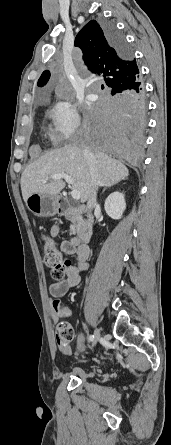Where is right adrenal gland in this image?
<instances>
[{
  "mask_svg": "<svg viewBox=\"0 0 171 445\" xmlns=\"http://www.w3.org/2000/svg\"><path fill=\"white\" fill-rule=\"evenodd\" d=\"M112 186H113V185L108 186L107 188H104L103 191H102V194L105 192L106 189H108V188H110V187H112Z\"/></svg>",
  "mask_w": 171,
  "mask_h": 445,
  "instance_id": "2a0ac1e0",
  "label": "right adrenal gland"
}]
</instances>
